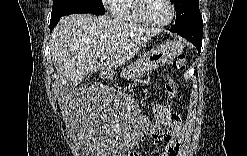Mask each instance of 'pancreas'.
Masks as SVG:
<instances>
[{
    "instance_id": "cf45deb5",
    "label": "pancreas",
    "mask_w": 247,
    "mask_h": 156,
    "mask_svg": "<svg viewBox=\"0 0 247 156\" xmlns=\"http://www.w3.org/2000/svg\"><path fill=\"white\" fill-rule=\"evenodd\" d=\"M144 71H145L144 69H141L140 67H138V68L135 70V72H134L132 78H136V77L140 76Z\"/></svg>"
}]
</instances>
